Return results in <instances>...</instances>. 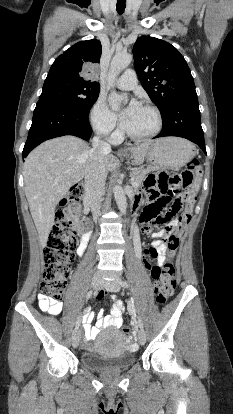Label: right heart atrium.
<instances>
[{
  "mask_svg": "<svg viewBox=\"0 0 233 414\" xmlns=\"http://www.w3.org/2000/svg\"><path fill=\"white\" fill-rule=\"evenodd\" d=\"M89 121L93 130L101 137L114 140L117 138V117L108 108L103 97H99L89 112Z\"/></svg>",
  "mask_w": 233,
  "mask_h": 414,
  "instance_id": "right-heart-atrium-1",
  "label": "right heart atrium"
}]
</instances>
